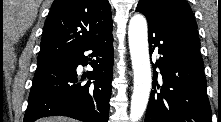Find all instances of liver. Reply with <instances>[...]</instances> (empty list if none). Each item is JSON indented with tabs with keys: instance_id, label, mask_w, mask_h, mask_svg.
I'll list each match as a JSON object with an SVG mask.
<instances>
[{
	"instance_id": "1",
	"label": "liver",
	"mask_w": 221,
	"mask_h": 122,
	"mask_svg": "<svg viewBox=\"0 0 221 122\" xmlns=\"http://www.w3.org/2000/svg\"><path fill=\"white\" fill-rule=\"evenodd\" d=\"M38 122H72V119L55 116V117L42 118Z\"/></svg>"
}]
</instances>
